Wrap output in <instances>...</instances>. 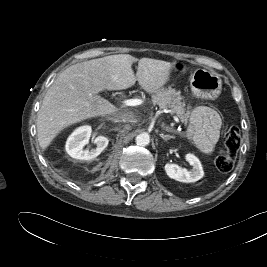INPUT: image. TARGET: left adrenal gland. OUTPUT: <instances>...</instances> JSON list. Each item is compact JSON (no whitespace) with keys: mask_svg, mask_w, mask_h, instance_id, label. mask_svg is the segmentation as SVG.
Segmentation results:
<instances>
[{"mask_svg":"<svg viewBox=\"0 0 267 267\" xmlns=\"http://www.w3.org/2000/svg\"><path fill=\"white\" fill-rule=\"evenodd\" d=\"M162 128H163L165 131H167V132H174V130H173L172 128L167 127V126H165L164 124L162 125ZM160 137H161L162 139H164L165 141H167V140H169V139H171V138H174V136H171V135H164V134H160Z\"/></svg>","mask_w":267,"mask_h":267,"instance_id":"a2214340","label":"left adrenal gland"}]
</instances>
